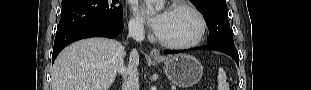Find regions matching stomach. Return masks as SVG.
Returning a JSON list of instances; mask_svg holds the SVG:
<instances>
[{"instance_id": "obj_1", "label": "stomach", "mask_w": 311, "mask_h": 90, "mask_svg": "<svg viewBox=\"0 0 311 90\" xmlns=\"http://www.w3.org/2000/svg\"><path fill=\"white\" fill-rule=\"evenodd\" d=\"M164 62V72L175 85L187 88L196 84L202 77L203 68L200 62L189 54H178L167 58L154 59Z\"/></svg>"}]
</instances>
